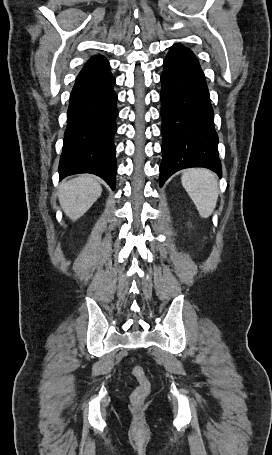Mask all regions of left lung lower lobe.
<instances>
[{
	"label": "left lung lower lobe",
	"instance_id": "obj_1",
	"mask_svg": "<svg viewBox=\"0 0 272 455\" xmlns=\"http://www.w3.org/2000/svg\"><path fill=\"white\" fill-rule=\"evenodd\" d=\"M163 65L160 186L173 173L190 167L209 168L221 177L214 112L196 56L166 57Z\"/></svg>",
	"mask_w": 272,
	"mask_h": 455
}]
</instances>
